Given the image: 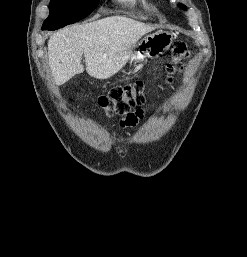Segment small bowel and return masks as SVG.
Listing matches in <instances>:
<instances>
[{
	"instance_id": "1",
	"label": "small bowel",
	"mask_w": 247,
	"mask_h": 257,
	"mask_svg": "<svg viewBox=\"0 0 247 257\" xmlns=\"http://www.w3.org/2000/svg\"><path fill=\"white\" fill-rule=\"evenodd\" d=\"M143 116L142 110H136L132 112L129 116L124 118L121 122L122 126H135L139 119Z\"/></svg>"
}]
</instances>
